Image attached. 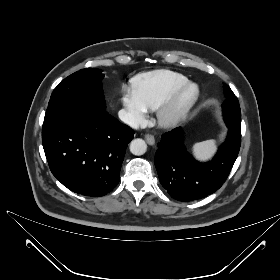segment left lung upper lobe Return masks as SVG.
Returning <instances> with one entry per match:
<instances>
[{"label":"left lung upper lobe","instance_id":"1","mask_svg":"<svg viewBox=\"0 0 280 280\" xmlns=\"http://www.w3.org/2000/svg\"><path fill=\"white\" fill-rule=\"evenodd\" d=\"M223 88L226 97L223 103L224 120L230 129L241 134V110L239 101L228 85L224 84Z\"/></svg>","mask_w":280,"mask_h":280}]
</instances>
